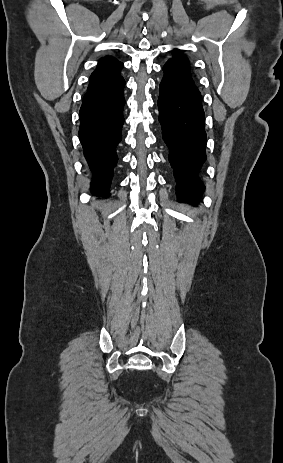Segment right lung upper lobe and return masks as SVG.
Wrapping results in <instances>:
<instances>
[{"label":"right lung upper lobe","instance_id":"right-lung-upper-lobe-1","mask_svg":"<svg viewBox=\"0 0 283 463\" xmlns=\"http://www.w3.org/2000/svg\"><path fill=\"white\" fill-rule=\"evenodd\" d=\"M123 63L113 57H104L99 60L97 69L90 76L88 89L97 87L120 76Z\"/></svg>","mask_w":283,"mask_h":463}]
</instances>
